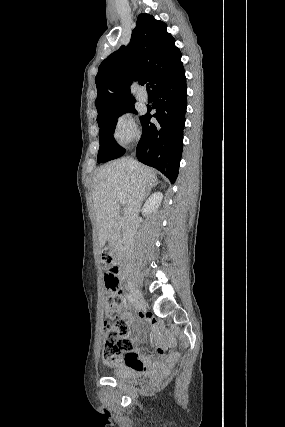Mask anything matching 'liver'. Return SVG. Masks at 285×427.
<instances>
[{
  "instance_id": "1",
  "label": "liver",
  "mask_w": 285,
  "mask_h": 427,
  "mask_svg": "<svg viewBox=\"0 0 285 427\" xmlns=\"http://www.w3.org/2000/svg\"><path fill=\"white\" fill-rule=\"evenodd\" d=\"M134 160L122 158L101 167L93 180L92 200L95 221L98 229L99 245L102 248L112 232L120 207L117 194L121 193L128 203L134 187ZM144 176L146 186L157 183L156 172L143 164L134 161Z\"/></svg>"
}]
</instances>
